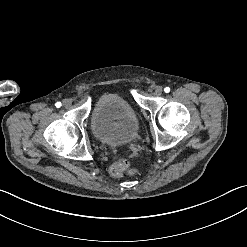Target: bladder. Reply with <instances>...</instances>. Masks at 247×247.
Wrapping results in <instances>:
<instances>
[{
  "instance_id": "1",
  "label": "bladder",
  "mask_w": 247,
  "mask_h": 247,
  "mask_svg": "<svg viewBox=\"0 0 247 247\" xmlns=\"http://www.w3.org/2000/svg\"><path fill=\"white\" fill-rule=\"evenodd\" d=\"M91 125L97 139L102 143L124 144L132 140L138 130V120L131 103L115 94L97 97Z\"/></svg>"
}]
</instances>
